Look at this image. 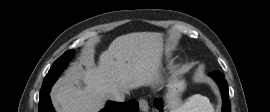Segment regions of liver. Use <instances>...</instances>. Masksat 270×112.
Instances as JSON below:
<instances>
[{
    "mask_svg": "<svg viewBox=\"0 0 270 112\" xmlns=\"http://www.w3.org/2000/svg\"><path fill=\"white\" fill-rule=\"evenodd\" d=\"M163 50L162 35L135 32L117 37L99 55L98 65L91 50L54 87L52 99L59 112H98L116 92L159 81Z\"/></svg>",
    "mask_w": 270,
    "mask_h": 112,
    "instance_id": "1",
    "label": "liver"
}]
</instances>
